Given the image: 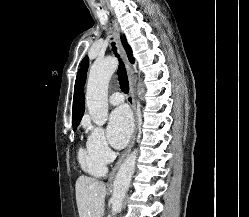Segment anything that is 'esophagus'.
I'll list each match as a JSON object with an SVG mask.
<instances>
[{"label": "esophagus", "instance_id": "esophagus-1", "mask_svg": "<svg viewBox=\"0 0 249 217\" xmlns=\"http://www.w3.org/2000/svg\"><path fill=\"white\" fill-rule=\"evenodd\" d=\"M112 23H113V31H114L116 46H117L119 54L121 55V57L124 60L126 70L129 74V94L127 96V102L133 111L134 129H133V134H132V137H131V140H130V143H129L127 149L121 155V157L117 161L116 165L114 166V168L109 176L108 184H112L117 170L119 169L121 163L123 162V160L125 159L127 154L130 152L131 148L133 147V144H134V141L136 138V133H137V112H136V103H135V95H134V83H133V78L131 76L132 64L129 61L127 53H126V51L123 47V44L121 42L119 26H118L117 22L114 20L112 21Z\"/></svg>", "mask_w": 249, "mask_h": 217}]
</instances>
